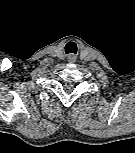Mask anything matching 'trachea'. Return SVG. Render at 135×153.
<instances>
[{
	"label": "trachea",
	"instance_id": "obj_1",
	"mask_svg": "<svg viewBox=\"0 0 135 153\" xmlns=\"http://www.w3.org/2000/svg\"><path fill=\"white\" fill-rule=\"evenodd\" d=\"M77 51V46L74 42H68L65 46V53L69 54V53H74L76 54Z\"/></svg>",
	"mask_w": 135,
	"mask_h": 153
}]
</instances>
